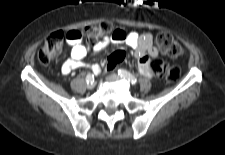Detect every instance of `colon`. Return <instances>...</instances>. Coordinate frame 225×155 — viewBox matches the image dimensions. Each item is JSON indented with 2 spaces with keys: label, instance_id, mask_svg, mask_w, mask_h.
Segmentation results:
<instances>
[{
  "label": "colon",
  "instance_id": "colon-1",
  "mask_svg": "<svg viewBox=\"0 0 225 155\" xmlns=\"http://www.w3.org/2000/svg\"><path fill=\"white\" fill-rule=\"evenodd\" d=\"M115 31L113 25L108 21L86 26L82 33V39L88 43H94L97 40L112 34ZM67 33L63 31H55L51 33L44 41L38 52V60L43 65H48L54 57L61 51L64 41L67 40ZM156 43L162 52L169 58H177L182 53L180 44L167 32H160L156 35ZM110 60L106 63V68L110 72H115L119 68V64L125 60V55L118 49H113L109 53ZM152 67L157 74L167 82H176L180 78V69L175 65H169L162 60L157 59L153 62Z\"/></svg>",
  "mask_w": 225,
  "mask_h": 155
}]
</instances>
